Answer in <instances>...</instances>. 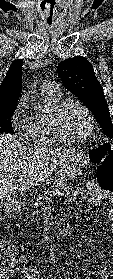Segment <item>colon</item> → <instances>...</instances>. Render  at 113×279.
Segmentation results:
<instances>
[{
  "instance_id": "5ec220e1",
  "label": "colon",
  "mask_w": 113,
  "mask_h": 279,
  "mask_svg": "<svg viewBox=\"0 0 113 279\" xmlns=\"http://www.w3.org/2000/svg\"><path fill=\"white\" fill-rule=\"evenodd\" d=\"M91 160L98 164L96 181L104 192L113 193V149L109 145H101L91 152ZM24 249L5 244L0 238V274H4L7 265H16L23 262ZM5 268V269H4Z\"/></svg>"
}]
</instances>
